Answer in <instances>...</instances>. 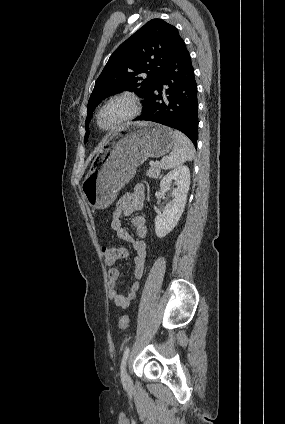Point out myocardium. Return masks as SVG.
<instances>
[{"instance_id":"obj_1","label":"myocardium","mask_w":285,"mask_h":424,"mask_svg":"<svg viewBox=\"0 0 285 424\" xmlns=\"http://www.w3.org/2000/svg\"><path fill=\"white\" fill-rule=\"evenodd\" d=\"M122 102L127 104L129 110L128 112L119 118L117 121H115L112 124L109 125H102L100 123V117L102 113L107 109L110 105L114 103ZM141 112V101L140 99L134 95L129 93L124 94H118L114 95L110 98H108L95 112L94 115V123L96 128L101 132H111L114 130L119 129L120 127L124 126L125 124L129 123L130 121L134 120L139 116Z\"/></svg>"}]
</instances>
